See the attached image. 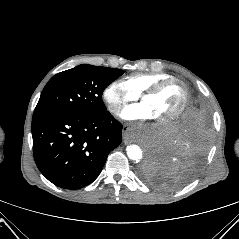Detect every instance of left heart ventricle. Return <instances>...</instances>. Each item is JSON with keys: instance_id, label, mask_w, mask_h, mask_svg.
I'll use <instances>...</instances> for the list:
<instances>
[{"instance_id": "obj_1", "label": "left heart ventricle", "mask_w": 239, "mask_h": 239, "mask_svg": "<svg viewBox=\"0 0 239 239\" xmlns=\"http://www.w3.org/2000/svg\"><path fill=\"white\" fill-rule=\"evenodd\" d=\"M183 101V92L176 84H171L159 93L147 96L143 102L148 106L153 118L157 121L167 118L175 113Z\"/></svg>"}]
</instances>
